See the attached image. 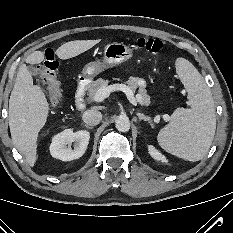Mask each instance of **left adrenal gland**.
<instances>
[{"label":"left adrenal gland","mask_w":233,"mask_h":233,"mask_svg":"<svg viewBox=\"0 0 233 233\" xmlns=\"http://www.w3.org/2000/svg\"><path fill=\"white\" fill-rule=\"evenodd\" d=\"M137 116H138L140 121L143 120V121H146V122L150 123V118L145 116L143 113L138 112Z\"/></svg>","instance_id":"1"}]
</instances>
